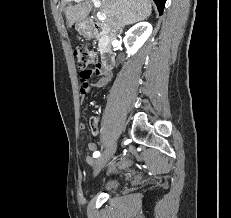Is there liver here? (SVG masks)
<instances>
[{
	"instance_id": "1",
	"label": "liver",
	"mask_w": 231,
	"mask_h": 218,
	"mask_svg": "<svg viewBox=\"0 0 231 218\" xmlns=\"http://www.w3.org/2000/svg\"><path fill=\"white\" fill-rule=\"evenodd\" d=\"M77 2L73 6L71 2ZM92 0H62L68 27L84 21L92 9ZM101 13L106 15L104 25L111 32H121L126 25L147 19L152 12L151 0H100Z\"/></svg>"
}]
</instances>
